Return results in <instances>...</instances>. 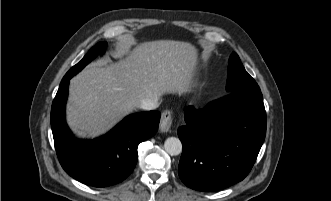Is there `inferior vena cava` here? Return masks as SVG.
Masks as SVG:
<instances>
[{"label":"inferior vena cava","instance_id":"inferior-vena-cava-1","mask_svg":"<svg viewBox=\"0 0 331 201\" xmlns=\"http://www.w3.org/2000/svg\"><path fill=\"white\" fill-rule=\"evenodd\" d=\"M159 96L154 94L151 97L144 98L140 103V108L144 110H154L158 107Z\"/></svg>","mask_w":331,"mask_h":201}]
</instances>
